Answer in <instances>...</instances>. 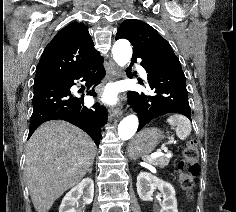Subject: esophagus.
<instances>
[{"instance_id": "obj_1", "label": "esophagus", "mask_w": 236, "mask_h": 212, "mask_svg": "<svg viewBox=\"0 0 236 212\" xmlns=\"http://www.w3.org/2000/svg\"><path fill=\"white\" fill-rule=\"evenodd\" d=\"M119 78V68L117 65L112 63L111 69L108 72V79L111 81L117 80ZM122 114V106H115L109 108V115L111 118L119 117Z\"/></svg>"}]
</instances>
